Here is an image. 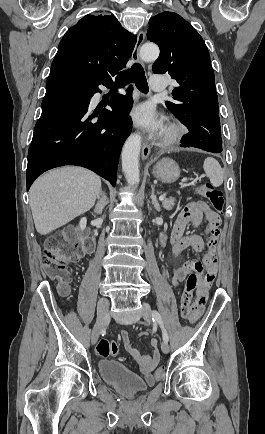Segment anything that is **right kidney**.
Instances as JSON below:
<instances>
[{"label":"right kidney","instance_id":"ca27d5eb","mask_svg":"<svg viewBox=\"0 0 265 434\" xmlns=\"http://www.w3.org/2000/svg\"><path fill=\"white\" fill-rule=\"evenodd\" d=\"M86 222H87L86 218H81V220L79 222V228H80V230H85V228H86Z\"/></svg>","mask_w":265,"mask_h":434}]
</instances>
